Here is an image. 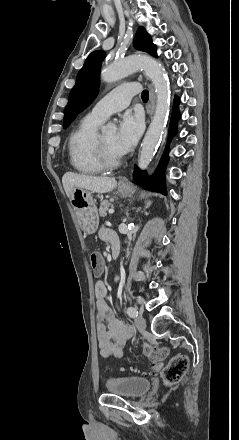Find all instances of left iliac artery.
Masks as SVG:
<instances>
[{
	"instance_id": "44dca946",
	"label": "left iliac artery",
	"mask_w": 239,
	"mask_h": 440,
	"mask_svg": "<svg viewBox=\"0 0 239 440\" xmlns=\"http://www.w3.org/2000/svg\"><path fill=\"white\" fill-rule=\"evenodd\" d=\"M127 314H128L130 317L134 318V317H136V316L138 315V311H137L136 308H134V307H128V308H127Z\"/></svg>"
}]
</instances>
